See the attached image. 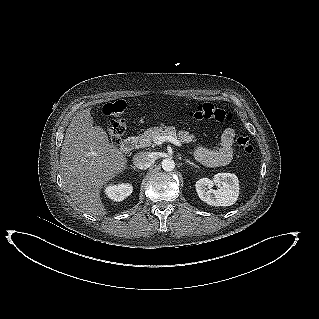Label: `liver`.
<instances>
[{"label":"liver","instance_id":"obj_1","mask_svg":"<svg viewBox=\"0 0 319 319\" xmlns=\"http://www.w3.org/2000/svg\"><path fill=\"white\" fill-rule=\"evenodd\" d=\"M91 109L76 113L61 147V175L74 205L91 215L107 214L100 193L103 186L126 168L127 159L109 143L106 132L93 126Z\"/></svg>","mask_w":319,"mask_h":319}]
</instances>
